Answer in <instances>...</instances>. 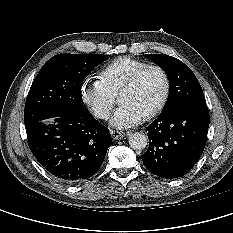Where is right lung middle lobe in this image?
<instances>
[{
	"label": "right lung middle lobe",
	"instance_id": "1",
	"mask_svg": "<svg viewBox=\"0 0 233 233\" xmlns=\"http://www.w3.org/2000/svg\"><path fill=\"white\" fill-rule=\"evenodd\" d=\"M109 55L58 54L40 69L29 90L25 126L85 109L81 87L88 74Z\"/></svg>",
	"mask_w": 233,
	"mask_h": 233
}]
</instances>
